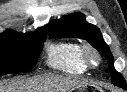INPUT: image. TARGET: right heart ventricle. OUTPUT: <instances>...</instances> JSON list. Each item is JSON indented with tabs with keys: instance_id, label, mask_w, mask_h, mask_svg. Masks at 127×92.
Returning <instances> with one entry per match:
<instances>
[{
	"instance_id": "e07e8e85",
	"label": "right heart ventricle",
	"mask_w": 127,
	"mask_h": 92,
	"mask_svg": "<svg viewBox=\"0 0 127 92\" xmlns=\"http://www.w3.org/2000/svg\"><path fill=\"white\" fill-rule=\"evenodd\" d=\"M46 62L52 69L66 74H82L87 70L81 58V45L77 42L63 41L49 44Z\"/></svg>"
}]
</instances>
